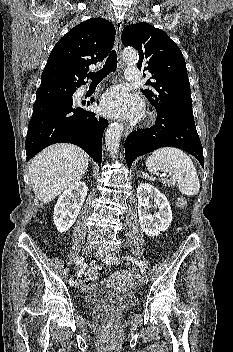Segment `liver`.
Masks as SVG:
<instances>
[{
    "instance_id": "liver-1",
    "label": "liver",
    "mask_w": 233,
    "mask_h": 352,
    "mask_svg": "<svg viewBox=\"0 0 233 352\" xmlns=\"http://www.w3.org/2000/svg\"><path fill=\"white\" fill-rule=\"evenodd\" d=\"M89 164V156L72 144H54L37 154L29 165L35 196L43 203L53 201L80 181Z\"/></svg>"
}]
</instances>
